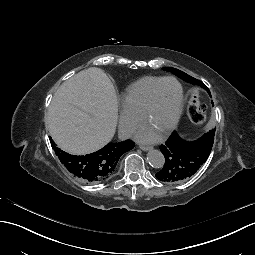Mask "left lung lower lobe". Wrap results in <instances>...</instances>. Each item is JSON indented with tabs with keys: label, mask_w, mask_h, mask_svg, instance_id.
I'll list each match as a JSON object with an SVG mask.
<instances>
[{
	"label": "left lung lower lobe",
	"mask_w": 255,
	"mask_h": 255,
	"mask_svg": "<svg viewBox=\"0 0 255 255\" xmlns=\"http://www.w3.org/2000/svg\"><path fill=\"white\" fill-rule=\"evenodd\" d=\"M165 155L161 168L154 177L164 183H176L195 176L210 156L211 147L205 137L197 138V143L183 145L173 134L157 147Z\"/></svg>",
	"instance_id": "obj_1"
}]
</instances>
